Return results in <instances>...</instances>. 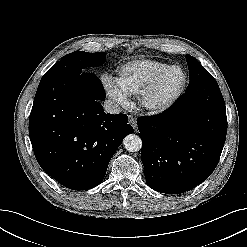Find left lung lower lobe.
<instances>
[{"mask_svg":"<svg viewBox=\"0 0 247 247\" xmlns=\"http://www.w3.org/2000/svg\"><path fill=\"white\" fill-rule=\"evenodd\" d=\"M189 84L192 94L137 120L146 182L161 193H185L205 181L225 143L226 108L216 80L207 74Z\"/></svg>","mask_w":247,"mask_h":247,"instance_id":"left-lung-lower-lobe-1","label":"left lung lower lobe"}]
</instances>
